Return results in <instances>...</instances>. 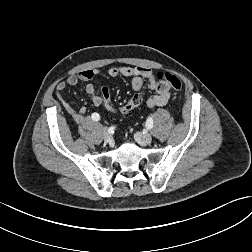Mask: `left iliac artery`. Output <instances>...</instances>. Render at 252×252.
<instances>
[{"label":"left iliac artery","instance_id":"obj_1","mask_svg":"<svg viewBox=\"0 0 252 252\" xmlns=\"http://www.w3.org/2000/svg\"><path fill=\"white\" fill-rule=\"evenodd\" d=\"M146 127H147V129H152V127H153V119L150 116L147 118Z\"/></svg>","mask_w":252,"mask_h":252}]
</instances>
